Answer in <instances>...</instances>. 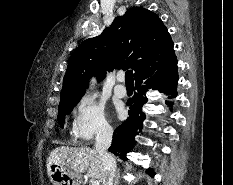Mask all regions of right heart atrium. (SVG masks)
<instances>
[{
  "label": "right heart atrium",
  "instance_id": "1",
  "mask_svg": "<svg viewBox=\"0 0 233 185\" xmlns=\"http://www.w3.org/2000/svg\"><path fill=\"white\" fill-rule=\"evenodd\" d=\"M111 132L104 106L94 97L85 96L77 104L72 120V135L79 142Z\"/></svg>",
  "mask_w": 233,
  "mask_h": 185
}]
</instances>
